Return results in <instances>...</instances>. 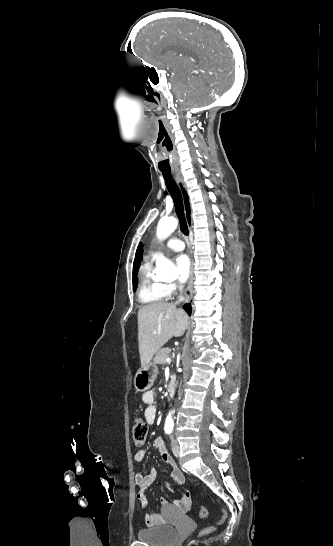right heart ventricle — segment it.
<instances>
[{"label": "right heart ventricle", "mask_w": 333, "mask_h": 546, "mask_svg": "<svg viewBox=\"0 0 333 546\" xmlns=\"http://www.w3.org/2000/svg\"><path fill=\"white\" fill-rule=\"evenodd\" d=\"M138 296L147 305L162 302L167 297L163 284L154 276L150 262L144 263L140 269Z\"/></svg>", "instance_id": "obj_1"}]
</instances>
